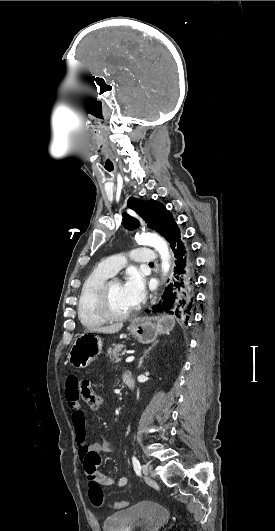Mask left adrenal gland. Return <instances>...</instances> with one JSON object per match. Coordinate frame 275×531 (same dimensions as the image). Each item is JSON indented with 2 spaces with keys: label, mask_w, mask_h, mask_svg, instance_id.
I'll use <instances>...</instances> for the list:
<instances>
[{
  "label": "left adrenal gland",
  "mask_w": 275,
  "mask_h": 531,
  "mask_svg": "<svg viewBox=\"0 0 275 531\" xmlns=\"http://www.w3.org/2000/svg\"><path fill=\"white\" fill-rule=\"evenodd\" d=\"M157 343H159V341H156V343H152L151 347H149V349H147V351H145L143 357H140L138 369H140V367H141V365L143 363V359H144L145 355H148L149 351H151V349H153V347H156Z\"/></svg>",
  "instance_id": "obj_1"
}]
</instances>
